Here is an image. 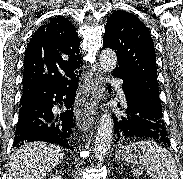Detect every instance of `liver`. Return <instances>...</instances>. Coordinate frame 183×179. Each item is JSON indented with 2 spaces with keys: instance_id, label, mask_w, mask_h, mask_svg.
<instances>
[{
  "instance_id": "6515ba94",
  "label": "liver",
  "mask_w": 183,
  "mask_h": 179,
  "mask_svg": "<svg viewBox=\"0 0 183 179\" xmlns=\"http://www.w3.org/2000/svg\"><path fill=\"white\" fill-rule=\"evenodd\" d=\"M63 158V151L54 144L25 143L12 153L7 179H43Z\"/></svg>"
}]
</instances>
